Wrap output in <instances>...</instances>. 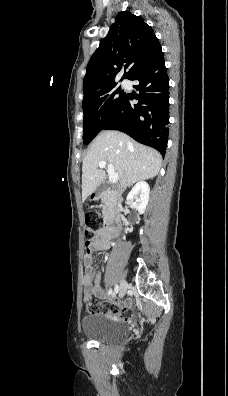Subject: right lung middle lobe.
Instances as JSON below:
<instances>
[{
  "label": "right lung middle lobe",
  "instance_id": "right-lung-middle-lobe-1",
  "mask_svg": "<svg viewBox=\"0 0 228 396\" xmlns=\"http://www.w3.org/2000/svg\"><path fill=\"white\" fill-rule=\"evenodd\" d=\"M116 84L92 92L83 99V142L90 143L126 97Z\"/></svg>",
  "mask_w": 228,
  "mask_h": 396
}]
</instances>
